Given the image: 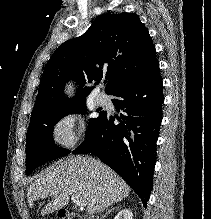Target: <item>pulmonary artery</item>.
Segmentation results:
<instances>
[{"mask_svg":"<svg viewBox=\"0 0 211 219\" xmlns=\"http://www.w3.org/2000/svg\"><path fill=\"white\" fill-rule=\"evenodd\" d=\"M96 103L98 105H108L109 104V98L107 95H105L104 93H100L96 96L95 99Z\"/></svg>","mask_w":211,"mask_h":219,"instance_id":"pulmonary-artery-1","label":"pulmonary artery"}]
</instances>
